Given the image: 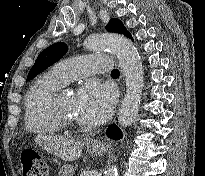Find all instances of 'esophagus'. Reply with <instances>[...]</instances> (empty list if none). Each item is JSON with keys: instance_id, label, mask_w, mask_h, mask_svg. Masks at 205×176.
<instances>
[{"instance_id": "obj_1", "label": "esophagus", "mask_w": 205, "mask_h": 176, "mask_svg": "<svg viewBox=\"0 0 205 176\" xmlns=\"http://www.w3.org/2000/svg\"><path fill=\"white\" fill-rule=\"evenodd\" d=\"M90 145H92V146H100L101 144H100V142L98 140H94V141L90 142Z\"/></svg>"}]
</instances>
